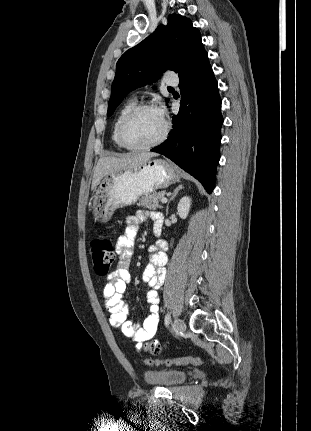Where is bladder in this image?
<instances>
[{"label": "bladder", "instance_id": "bladder-1", "mask_svg": "<svg viewBox=\"0 0 311 431\" xmlns=\"http://www.w3.org/2000/svg\"><path fill=\"white\" fill-rule=\"evenodd\" d=\"M143 377L150 385L171 388L184 383L188 374L186 371L176 368L149 369L144 371Z\"/></svg>", "mask_w": 311, "mask_h": 431}]
</instances>
